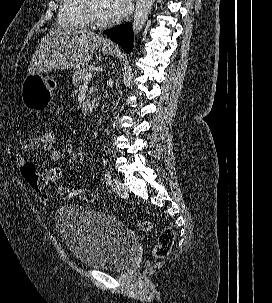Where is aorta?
<instances>
[{"label":"aorta","mask_w":272,"mask_h":303,"mask_svg":"<svg viewBox=\"0 0 272 303\" xmlns=\"http://www.w3.org/2000/svg\"><path fill=\"white\" fill-rule=\"evenodd\" d=\"M154 0H136L135 14L133 20V32L137 35L144 27Z\"/></svg>","instance_id":"762f6f07"}]
</instances>
